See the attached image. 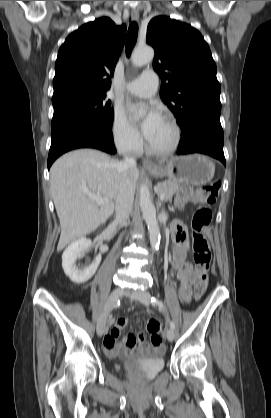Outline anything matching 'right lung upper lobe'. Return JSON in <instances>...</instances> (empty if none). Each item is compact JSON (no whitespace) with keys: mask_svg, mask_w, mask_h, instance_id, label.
I'll use <instances>...</instances> for the list:
<instances>
[{"mask_svg":"<svg viewBox=\"0 0 271 418\" xmlns=\"http://www.w3.org/2000/svg\"><path fill=\"white\" fill-rule=\"evenodd\" d=\"M126 26L98 18L71 33L55 63L53 100L77 94L106 93L110 88Z\"/></svg>","mask_w":271,"mask_h":418,"instance_id":"cb5924a9","label":"right lung upper lobe"}]
</instances>
